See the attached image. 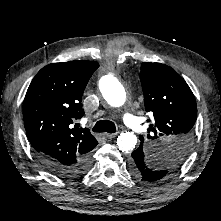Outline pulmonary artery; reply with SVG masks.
Here are the masks:
<instances>
[{
	"label": "pulmonary artery",
	"mask_w": 221,
	"mask_h": 221,
	"mask_svg": "<svg viewBox=\"0 0 221 221\" xmlns=\"http://www.w3.org/2000/svg\"><path fill=\"white\" fill-rule=\"evenodd\" d=\"M123 121L131 130L135 132H139L142 128L139 119L129 112H125L123 114Z\"/></svg>",
	"instance_id": "e3ab8cb5"
}]
</instances>
